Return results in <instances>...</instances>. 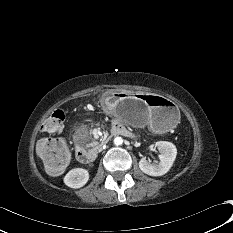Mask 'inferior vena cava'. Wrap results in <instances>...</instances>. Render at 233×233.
I'll return each mask as SVG.
<instances>
[{"label": "inferior vena cava", "mask_w": 233, "mask_h": 233, "mask_svg": "<svg viewBox=\"0 0 233 233\" xmlns=\"http://www.w3.org/2000/svg\"><path fill=\"white\" fill-rule=\"evenodd\" d=\"M98 150H99V151H102V146H100V147L98 148Z\"/></svg>", "instance_id": "obj_1"}]
</instances>
